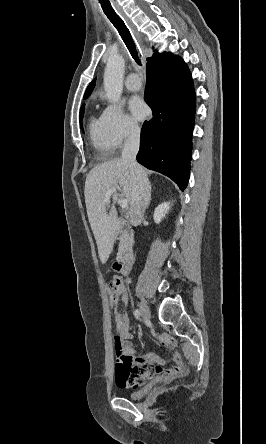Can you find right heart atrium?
I'll use <instances>...</instances> for the list:
<instances>
[{
  "mask_svg": "<svg viewBox=\"0 0 266 444\" xmlns=\"http://www.w3.org/2000/svg\"><path fill=\"white\" fill-rule=\"evenodd\" d=\"M101 117L113 148H120L125 142L139 135V125L125 112L120 104L108 105Z\"/></svg>",
  "mask_w": 266,
  "mask_h": 444,
  "instance_id": "obj_1",
  "label": "right heart atrium"
}]
</instances>
